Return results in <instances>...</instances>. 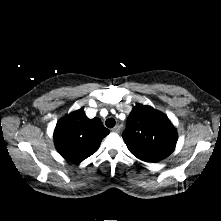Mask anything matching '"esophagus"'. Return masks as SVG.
Segmentation results:
<instances>
[{
	"instance_id": "34e87169",
	"label": "esophagus",
	"mask_w": 221,
	"mask_h": 221,
	"mask_svg": "<svg viewBox=\"0 0 221 221\" xmlns=\"http://www.w3.org/2000/svg\"><path fill=\"white\" fill-rule=\"evenodd\" d=\"M114 132L119 133L121 131V126L120 125H116L113 129Z\"/></svg>"
}]
</instances>
